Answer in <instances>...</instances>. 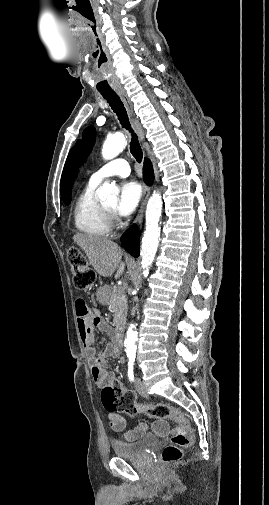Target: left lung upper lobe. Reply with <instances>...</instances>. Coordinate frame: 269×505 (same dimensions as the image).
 Here are the masks:
<instances>
[{
	"instance_id": "left-lung-upper-lobe-1",
	"label": "left lung upper lobe",
	"mask_w": 269,
	"mask_h": 505,
	"mask_svg": "<svg viewBox=\"0 0 269 505\" xmlns=\"http://www.w3.org/2000/svg\"><path fill=\"white\" fill-rule=\"evenodd\" d=\"M94 139H95L94 128L92 126L86 128L82 134V140L77 142V154L81 160H84L91 151Z\"/></svg>"
}]
</instances>
